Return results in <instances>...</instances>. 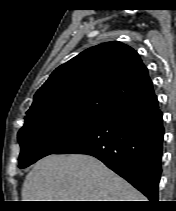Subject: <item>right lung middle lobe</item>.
<instances>
[{
	"label": "right lung middle lobe",
	"mask_w": 176,
	"mask_h": 211,
	"mask_svg": "<svg viewBox=\"0 0 176 211\" xmlns=\"http://www.w3.org/2000/svg\"><path fill=\"white\" fill-rule=\"evenodd\" d=\"M104 118L65 109H47L26 116L25 124L18 132L21 146L19 168L56 152Z\"/></svg>",
	"instance_id": "dd1d6c3e"
}]
</instances>
